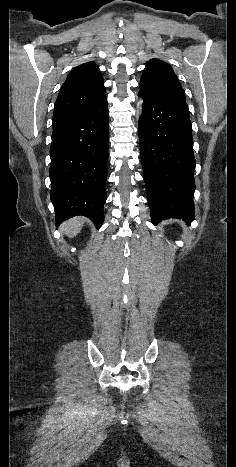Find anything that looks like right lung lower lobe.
Returning <instances> with one entry per match:
<instances>
[{"label": "right lung lower lobe", "instance_id": "98d812e1", "mask_svg": "<svg viewBox=\"0 0 236 467\" xmlns=\"http://www.w3.org/2000/svg\"><path fill=\"white\" fill-rule=\"evenodd\" d=\"M107 98L89 110L53 124L50 147L51 201L56 225L83 215L101 227L108 160Z\"/></svg>", "mask_w": 236, "mask_h": 467}]
</instances>
